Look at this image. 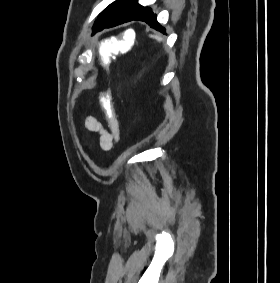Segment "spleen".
<instances>
[{"label": "spleen", "mask_w": 280, "mask_h": 283, "mask_svg": "<svg viewBox=\"0 0 280 283\" xmlns=\"http://www.w3.org/2000/svg\"><path fill=\"white\" fill-rule=\"evenodd\" d=\"M150 37L156 39L159 42L162 41V38L157 35H150Z\"/></svg>", "instance_id": "obj_1"}]
</instances>
